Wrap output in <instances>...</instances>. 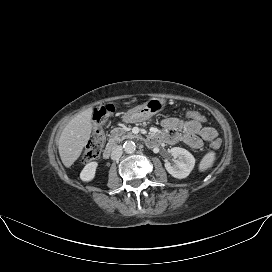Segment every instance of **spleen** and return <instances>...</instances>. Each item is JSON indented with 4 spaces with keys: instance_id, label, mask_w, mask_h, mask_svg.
<instances>
[{
    "instance_id": "3e777b00",
    "label": "spleen",
    "mask_w": 272,
    "mask_h": 272,
    "mask_svg": "<svg viewBox=\"0 0 272 272\" xmlns=\"http://www.w3.org/2000/svg\"><path fill=\"white\" fill-rule=\"evenodd\" d=\"M214 159H215L214 152L207 153L200 162L199 170L202 172L210 168L214 162Z\"/></svg>"
}]
</instances>
